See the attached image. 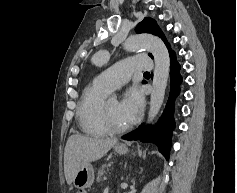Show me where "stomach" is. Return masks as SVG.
<instances>
[{"mask_svg": "<svg viewBox=\"0 0 237 193\" xmlns=\"http://www.w3.org/2000/svg\"><path fill=\"white\" fill-rule=\"evenodd\" d=\"M115 152L124 155L128 152L125 144L118 143L114 146ZM94 182V169L91 164L82 166L73 179V185L78 189L89 188Z\"/></svg>", "mask_w": 237, "mask_h": 193, "instance_id": "0dacf381", "label": "stomach"}]
</instances>
